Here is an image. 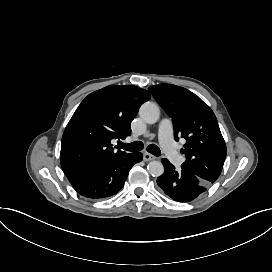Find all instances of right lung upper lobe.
I'll list each match as a JSON object with an SVG mask.
<instances>
[{
    "instance_id": "cb5924a9",
    "label": "right lung upper lobe",
    "mask_w": 272,
    "mask_h": 272,
    "mask_svg": "<svg viewBox=\"0 0 272 272\" xmlns=\"http://www.w3.org/2000/svg\"><path fill=\"white\" fill-rule=\"evenodd\" d=\"M150 99L145 89L111 85L89 94L76 109L63 133L60 160L68 177L123 156L113 151L112 139L130 135V123Z\"/></svg>"
}]
</instances>
